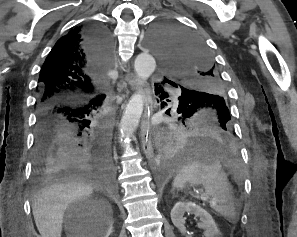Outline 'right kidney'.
Masks as SVG:
<instances>
[{"instance_id": "ca27d5eb", "label": "right kidney", "mask_w": 297, "mask_h": 237, "mask_svg": "<svg viewBox=\"0 0 297 237\" xmlns=\"http://www.w3.org/2000/svg\"><path fill=\"white\" fill-rule=\"evenodd\" d=\"M113 232V225L112 223H109V226L106 230V232L102 235L99 231H94L93 233L86 235V236H90V237H109L110 234H112Z\"/></svg>"}]
</instances>
